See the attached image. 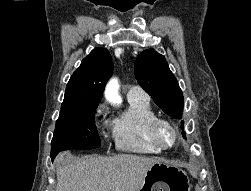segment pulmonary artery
Listing matches in <instances>:
<instances>
[{
    "instance_id": "e3ab8cb5",
    "label": "pulmonary artery",
    "mask_w": 251,
    "mask_h": 191,
    "mask_svg": "<svg viewBox=\"0 0 251 191\" xmlns=\"http://www.w3.org/2000/svg\"><path fill=\"white\" fill-rule=\"evenodd\" d=\"M142 93L137 90L135 87H130L127 91V98L128 99H133V98H137V97H141ZM145 98L149 99L151 102V99L149 96H145Z\"/></svg>"
}]
</instances>
